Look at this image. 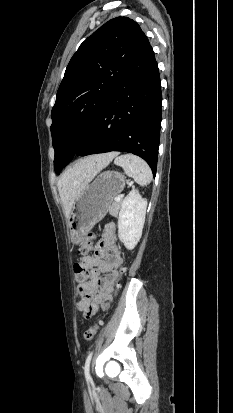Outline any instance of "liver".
Returning a JSON list of instances; mask_svg holds the SVG:
<instances>
[{"instance_id":"obj_1","label":"liver","mask_w":233,"mask_h":413,"mask_svg":"<svg viewBox=\"0 0 233 413\" xmlns=\"http://www.w3.org/2000/svg\"><path fill=\"white\" fill-rule=\"evenodd\" d=\"M117 152H110L90 156L76 162L67 169L58 180V190L68 219L74 202L82 189L117 156Z\"/></svg>"}]
</instances>
